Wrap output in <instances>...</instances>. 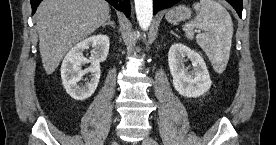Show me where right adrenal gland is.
Masks as SVG:
<instances>
[{"instance_id":"obj_1","label":"right adrenal gland","mask_w":276,"mask_h":145,"mask_svg":"<svg viewBox=\"0 0 276 145\" xmlns=\"http://www.w3.org/2000/svg\"><path fill=\"white\" fill-rule=\"evenodd\" d=\"M107 25H110V26H112V27H115V26H114V22L111 21V17L108 18V22L105 23L104 25H102V27L105 28Z\"/></svg>"}]
</instances>
